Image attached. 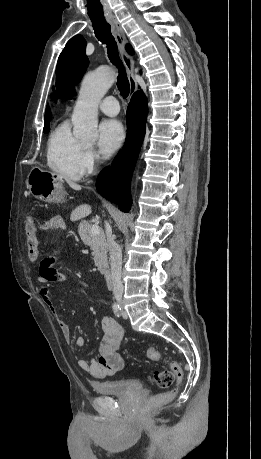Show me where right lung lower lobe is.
I'll use <instances>...</instances> for the list:
<instances>
[{"instance_id":"1","label":"right lung lower lobe","mask_w":261,"mask_h":459,"mask_svg":"<svg viewBox=\"0 0 261 459\" xmlns=\"http://www.w3.org/2000/svg\"><path fill=\"white\" fill-rule=\"evenodd\" d=\"M146 114V97L142 91H138L127 108L124 147L112 165L102 170L96 182L100 195L117 204L123 212H128L131 207L130 181L145 134Z\"/></svg>"}]
</instances>
